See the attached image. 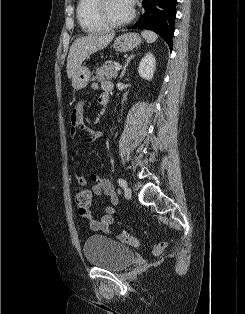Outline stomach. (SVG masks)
Returning a JSON list of instances; mask_svg holds the SVG:
<instances>
[{
  "label": "stomach",
  "instance_id": "stomach-1",
  "mask_svg": "<svg viewBox=\"0 0 245 314\" xmlns=\"http://www.w3.org/2000/svg\"><path fill=\"white\" fill-rule=\"evenodd\" d=\"M141 43V37L137 33H126L116 38L113 48L117 52H127L136 48ZM91 77L87 67L81 66L72 78V86L75 90L84 89Z\"/></svg>",
  "mask_w": 245,
  "mask_h": 314
}]
</instances>
